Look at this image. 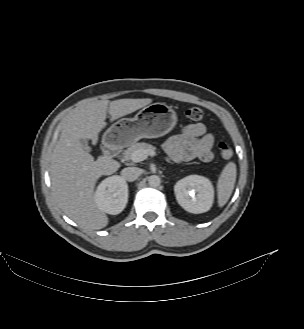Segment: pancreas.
Here are the masks:
<instances>
[{"mask_svg": "<svg viewBox=\"0 0 304 329\" xmlns=\"http://www.w3.org/2000/svg\"><path fill=\"white\" fill-rule=\"evenodd\" d=\"M140 149H143V150L152 149V150H154L155 147L151 144L144 143V142L133 144L129 148L124 150V152H123L124 159L125 160H131L132 153L137 151V150H140Z\"/></svg>", "mask_w": 304, "mask_h": 329, "instance_id": "cf45deb5", "label": "pancreas"}]
</instances>
